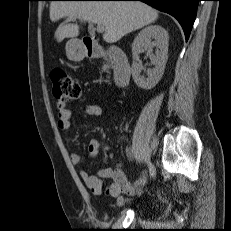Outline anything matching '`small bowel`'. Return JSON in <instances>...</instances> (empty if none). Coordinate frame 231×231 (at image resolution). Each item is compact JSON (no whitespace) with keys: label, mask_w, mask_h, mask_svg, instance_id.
<instances>
[{"label":"small bowel","mask_w":231,"mask_h":231,"mask_svg":"<svg viewBox=\"0 0 231 231\" xmlns=\"http://www.w3.org/2000/svg\"><path fill=\"white\" fill-rule=\"evenodd\" d=\"M83 112L88 116H100L102 108L99 105H86ZM71 111L63 104H58L57 127L62 132L71 129ZM101 144L97 139H92L88 143V154L91 158H96L100 152ZM70 162L78 165L81 162V155L77 152L70 153ZM79 175L94 195L106 193L108 196L117 199L119 203L124 202L122 194L133 195L136 188L127 180V177L120 166L115 168H100L96 174H89L86 170H80ZM111 182L104 189V180Z\"/></svg>","instance_id":"small-bowel-1"}]
</instances>
